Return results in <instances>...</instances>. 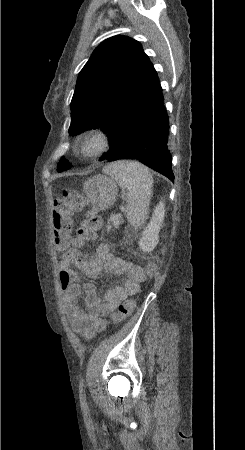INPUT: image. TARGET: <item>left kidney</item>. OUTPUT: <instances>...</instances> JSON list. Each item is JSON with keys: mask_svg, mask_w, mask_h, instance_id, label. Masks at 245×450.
I'll list each match as a JSON object with an SVG mask.
<instances>
[{"mask_svg": "<svg viewBox=\"0 0 245 450\" xmlns=\"http://www.w3.org/2000/svg\"><path fill=\"white\" fill-rule=\"evenodd\" d=\"M165 213V204L159 202L154 209L152 219L142 232V237L138 242L139 248L143 252H151L159 242V231L162 227Z\"/></svg>", "mask_w": 245, "mask_h": 450, "instance_id": "5707ae66", "label": "left kidney"}]
</instances>
